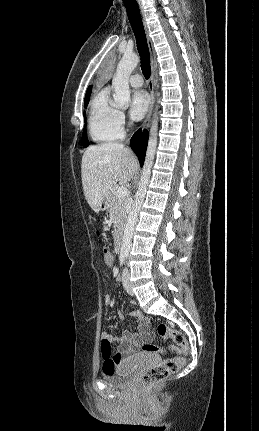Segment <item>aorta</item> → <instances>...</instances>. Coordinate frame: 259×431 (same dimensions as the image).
<instances>
[{
  "mask_svg": "<svg viewBox=\"0 0 259 431\" xmlns=\"http://www.w3.org/2000/svg\"><path fill=\"white\" fill-rule=\"evenodd\" d=\"M139 63V57L135 54H124L119 62L115 75L113 76L112 86L114 88L113 99L115 106L118 108H127L130 102L129 77L132 71ZM157 110V108H156ZM157 132H158V116L155 111L150 128V137L146 151V157L138 190L135 194V200L128 214L127 223L125 226L122 244L121 255L127 256L131 247V240L134 233V228L138 220L140 208L143 204L146 190L150 181L151 168L154 161V156L157 147Z\"/></svg>",
  "mask_w": 259,
  "mask_h": 431,
  "instance_id": "762f6f07",
  "label": "aorta"
}]
</instances>
